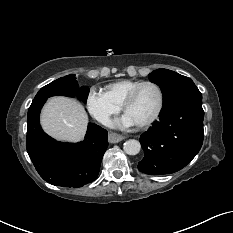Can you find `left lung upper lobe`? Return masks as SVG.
I'll return each instance as SVG.
<instances>
[{
    "instance_id": "1",
    "label": "left lung upper lobe",
    "mask_w": 233,
    "mask_h": 233,
    "mask_svg": "<svg viewBox=\"0 0 233 233\" xmlns=\"http://www.w3.org/2000/svg\"><path fill=\"white\" fill-rule=\"evenodd\" d=\"M151 82L160 86L163 93V109L187 99H202L194 82L183 75L167 69H157L149 74Z\"/></svg>"
}]
</instances>
